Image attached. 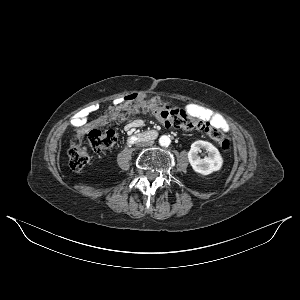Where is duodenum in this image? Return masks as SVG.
<instances>
[{"instance_id": "1", "label": "duodenum", "mask_w": 300, "mask_h": 300, "mask_svg": "<svg viewBox=\"0 0 300 300\" xmlns=\"http://www.w3.org/2000/svg\"><path fill=\"white\" fill-rule=\"evenodd\" d=\"M156 135H157V132L154 130L137 133V134H132L129 137V141L134 143V142H137L138 140H152L156 137Z\"/></svg>"}]
</instances>
